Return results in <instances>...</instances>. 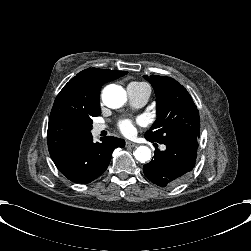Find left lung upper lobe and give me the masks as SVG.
I'll list each match as a JSON object with an SVG mask.
<instances>
[{
    "label": "left lung upper lobe",
    "mask_w": 251,
    "mask_h": 251,
    "mask_svg": "<svg viewBox=\"0 0 251 251\" xmlns=\"http://www.w3.org/2000/svg\"><path fill=\"white\" fill-rule=\"evenodd\" d=\"M156 94L157 119L145 138L160 144L197 141L200 136L199 111L187 90L167 76H144Z\"/></svg>",
    "instance_id": "left-lung-upper-lobe-1"
}]
</instances>
